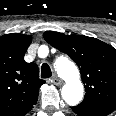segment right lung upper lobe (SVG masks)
Returning a JSON list of instances; mask_svg holds the SVG:
<instances>
[{"label": "right lung upper lobe", "mask_w": 116, "mask_h": 116, "mask_svg": "<svg viewBox=\"0 0 116 116\" xmlns=\"http://www.w3.org/2000/svg\"><path fill=\"white\" fill-rule=\"evenodd\" d=\"M32 41L20 33L0 37V116H24L38 100L39 78L35 63L24 61Z\"/></svg>", "instance_id": "cb5924a9"}]
</instances>
